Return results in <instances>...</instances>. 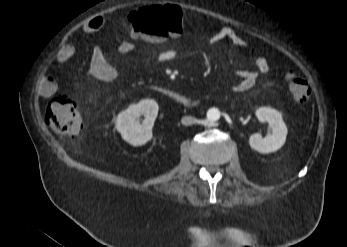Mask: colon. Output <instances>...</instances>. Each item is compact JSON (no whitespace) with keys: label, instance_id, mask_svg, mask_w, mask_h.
Here are the masks:
<instances>
[{"label":"colon","instance_id":"colon-1","mask_svg":"<svg viewBox=\"0 0 347 247\" xmlns=\"http://www.w3.org/2000/svg\"><path fill=\"white\" fill-rule=\"evenodd\" d=\"M128 21L134 32L161 41L182 32L186 14L176 5H153L130 13ZM285 79L292 98L298 103L307 102L311 95L307 80L295 72L288 73ZM44 121L54 132L67 137H75L82 130L77 103L62 94L49 100Z\"/></svg>","mask_w":347,"mask_h":247}]
</instances>
